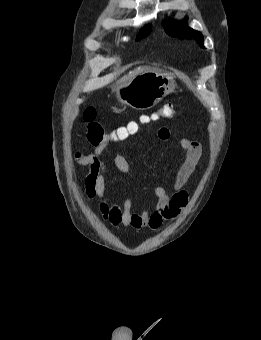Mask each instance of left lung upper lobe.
Listing matches in <instances>:
<instances>
[{
	"instance_id": "5c2ea615",
	"label": "left lung upper lobe",
	"mask_w": 261,
	"mask_h": 340,
	"mask_svg": "<svg viewBox=\"0 0 261 340\" xmlns=\"http://www.w3.org/2000/svg\"><path fill=\"white\" fill-rule=\"evenodd\" d=\"M187 21V18H184V20L181 23H178L176 21H168L164 22V29L166 30V33L178 37L180 39H194L196 40L201 47L203 46V35L198 32L194 31L193 29L186 27L185 22Z\"/></svg>"
}]
</instances>
